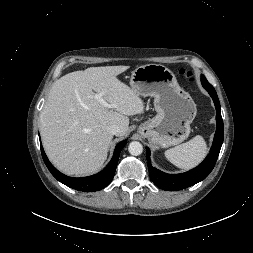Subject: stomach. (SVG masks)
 <instances>
[{"mask_svg":"<svg viewBox=\"0 0 253 253\" xmlns=\"http://www.w3.org/2000/svg\"><path fill=\"white\" fill-rule=\"evenodd\" d=\"M130 86L139 96L154 97L157 114L139 126L142 137L162 148L188 138L197 113L196 104L170 69L161 64L139 66L132 71Z\"/></svg>","mask_w":253,"mask_h":253,"instance_id":"0dacf381","label":"stomach"}]
</instances>
